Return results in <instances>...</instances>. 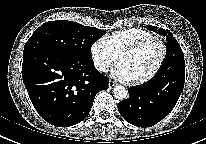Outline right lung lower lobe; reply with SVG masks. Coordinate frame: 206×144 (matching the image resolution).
Returning <instances> with one entry per match:
<instances>
[{
	"instance_id": "98d812e1",
	"label": "right lung lower lobe",
	"mask_w": 206,
	"mask_h": 144,
	"mask_svg": "<svg viewBox=\"0 0 206 144\" xmlns=\"http://www.w3.org/2000/svg\"><path fill=\"white\" fill-rule=\"evenodd\" d=\"M22 78L30 100L43 119L58 127L78 124L89 114L96 94L109 80L93 61L50 51L23 55Z\"/></svg>"
}]
</instances>
